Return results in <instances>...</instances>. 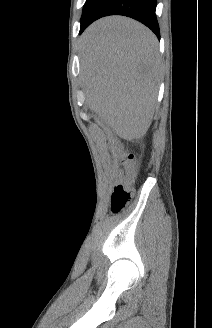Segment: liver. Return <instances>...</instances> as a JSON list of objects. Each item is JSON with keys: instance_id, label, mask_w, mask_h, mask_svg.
I'll return each mask as SVG.
<instances>
[{"instance_id": "1", "label": "liver", "mask_w": 212, "mask_h": 328, "mask_svg": "<svg viewBox=\"0 0 212 328\" xmlns=\"http://www.w3.org/2000/svg\"><path fill=\"white\" fill-rule=\"evenodd\" d=\"M80 56L90 110L124 139L144 135L161 76L155 35L133 19L105 17L83 33Z\"/></svg>"}]
</instances>
